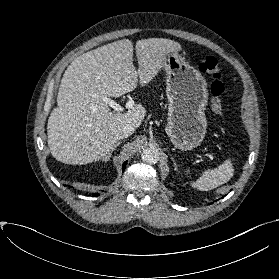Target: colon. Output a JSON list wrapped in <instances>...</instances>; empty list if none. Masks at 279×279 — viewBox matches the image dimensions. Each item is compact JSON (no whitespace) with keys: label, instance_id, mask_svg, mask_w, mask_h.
Instances as JSON below:
<instances>
[{"label":"colon","instance_id":"5ec220e1","mask_svg":"<svg viewBox=\"0 0 279 279\" xmlns=\"http://www.w3.org/2000/svg\"><path fill=\"white\" fill-rule=\"evenodd\" d=\"M199 70L211 79L210 108L214 114L221 115L223 112V102L221 97L224 92V83L219 62L215 57L208 56L199 65Z\"/></svg>","mask_w":279,"mask_h":279}]
</instances>
